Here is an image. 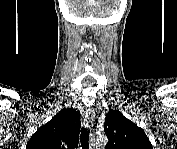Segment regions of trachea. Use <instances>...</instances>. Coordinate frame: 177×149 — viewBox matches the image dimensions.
<instances>
[{"label": "trachea", "instance_id": "obj_1", "mask_svg": "<svg viewBox=\"0 0 177 149\" xmlns=\"http://www.w3.org/2000/svg\"><path fill=\"white\" fill-rule=\"evenodd\" d=\"M80 142L82 149H89V136L84 127L81 129Z\"/></svg>", "mask_w": 177, "mask_h": 149}]
</instances>
